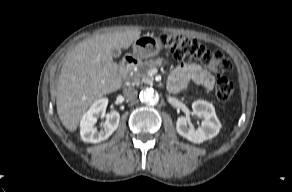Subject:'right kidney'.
<instances>
[{"mask_svg": "<svg viewBox=\"0 0 292 192\" xmlns=\"http://www.w3.org/2000/svg\"><path fill=\"white\" fill-rule=\"evenodd\" d=\"M108 99L102 98L95 101L89 110L83 115L80 123V134L84 142L99 143L106 140L118 128L120 114L113 110L107 116L103 129L97 130V119L105 116Z\"/></svg>", "mask_w": 292, "mask_h": 192, "instance_id": "1", "label": "right kidney"}]
</instances>
